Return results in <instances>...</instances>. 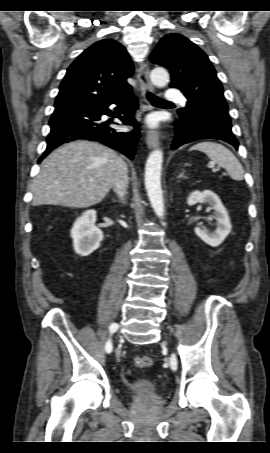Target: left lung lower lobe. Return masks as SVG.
Returning <instances> with one entry per match:
<instances>
[{
    "mask_svg": "<svg viewBox=\"0 0 270 453\" xmlns=\"http://www.w3.org/2000/svg\"><path fill=\"white\" fill-rule=\"evenodd\" d=\"M175 130L176 138L171 146L172 150L183 144L202 139L222 140L238 149L239 143L231 128L215 119L209 118L204 112L199 110H193L187 116H180L175 122Z\"/></svg>",
    "mask_w": 270,
    "mask_h": 453,
    "instance_id": "1",
    "label": "left lung lower lobe"
}]
</instances>
